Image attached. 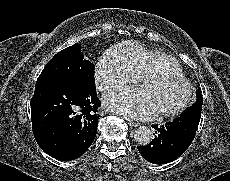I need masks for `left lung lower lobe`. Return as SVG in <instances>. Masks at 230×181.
<instances>
[{
    "label": "left lung lower lobe",
    "instance_id": "0a47b994",
    "mask_svg": "<svg viewBox=\"0 0 230 181\" xmlns=\"http://www.w3.org/2000/svg\"><path fill=\"white\" fill-rule=\"evenodd\" d=\"M200 118L201 111L188 109L172 122L152 125L155 138L147 146L137 147L139 153L153 164H166L177 159L192 143Z\"/></svg>",
    "mask_w": 230,
    "mask_h": 181
}]
</instances>
